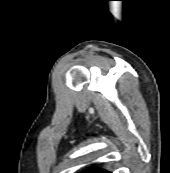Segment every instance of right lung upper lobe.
I'll list each match as a JSON object with an SVG mask.
<instances>
[{"label": "right lung upper lobe", "instance_id": "1", "mask_svg": "<svg viewBox=\"0 0 170 173\" xmlns=\"http://www.w3.org/2000/svg\"><path fill=\"white\" fill-rule=\"evenodd\" d=\"M86 173H108V172L102 169H98V170H90L87 171Z\"/></svg>", "mask_w": 170, "mask_h": 173}]
</instances>
